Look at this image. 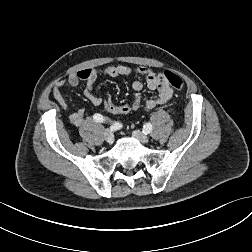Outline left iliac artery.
I'll return each instance as SVG.
<instances>
[{
  "label": "left iliac artery",
  "instance_id": "left-iliac-artery-1",
  "mask_svg": "<svg viewBox=\"0 0 252 252\" xmlns=\"http://www.w3.org/2000/svg\"><path fill=\"white\" fill-rule=\"evenodd\" d=\"M152 131V124L150 122L146 123L143 127V132L148 134Z\"/></svg>",
  "mask_w": 252,
  "mask_h": 252
}]
</instances>
